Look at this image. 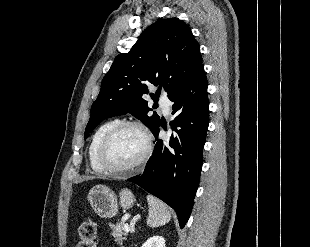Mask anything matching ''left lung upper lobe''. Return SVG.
<instances>
[{
    "instance_id": "5c2ea615",
    "label": "left lung upper lobe",
    "mask_w": 310,
    "mask_h": 247,
    "mask_svg": "<svg viewBox=\"0 0 310 247\" xmlns=\"http://www.w3.org/2000/svg\"><path fill=\"white\" fill-rule=\"evenodd\" d=\"M198 42L178 18L161 19L149 26L128 53L118 55L102 80L91 107L85 138L104 119L130 113L151 131L159 116L147 105L149 87L163 88L170 98L202 67Z\"/></svg>"
}]
</instances>
